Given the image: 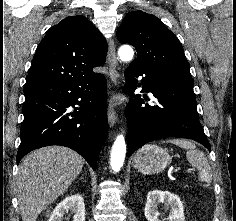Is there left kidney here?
Returning <instances> with one entry per match:
<instances>
[{
    "instance_id": "obj_1",
    "label": "left kidney",
    "mask_w": 236,
    "mask_h": 221,
    "mask_svg": "<svg viewBox=\"0 0 236 221\" xmlns=\"http://www.w3.org/2000/svg\"><path fill=\"white\" fill-rule=\"evenodd\" d=\"M161 203L171 208L167 220L185 221L184 207L179 196L161 190H152L147 194L144 214L148 221H161L158 212V206Z\"/></svg>"
}]
</instances>
